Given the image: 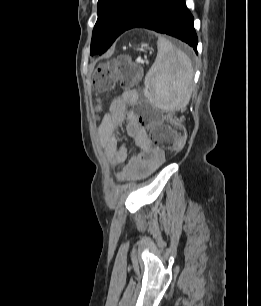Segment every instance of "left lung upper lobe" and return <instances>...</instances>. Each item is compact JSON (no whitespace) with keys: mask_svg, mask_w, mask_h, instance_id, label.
Returning a JSON list of instances; mask_svg holds the SVG:
<instances>
[{"mask_svg":"<svg viewBox=\"0 0 261 306\" xmlns=\"http://www.w3.org/2000/svg\"><path fill=\"white\" fill-rule=\"evenodd\" d=\"M145 0H99L98 19L93 29L91 55L104 53L124 32Z\"/></svg>","mask_w":261,"mask_h":306,"instance_id":"1","label":"left lung upper lobe"}]
</instances>
